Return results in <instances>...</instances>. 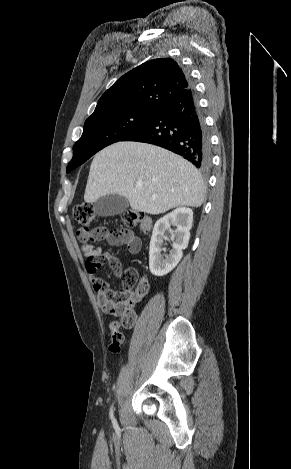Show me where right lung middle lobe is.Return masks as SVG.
Here are the masks:
<instances>
[{"mask_svg": "<svg viewBox=\"0 0 291 469\" xmlns=\"http://www.w3.org/2000/svg\"><path fill=\"white\" fill-rule=\"evenodd\" d=\"M154 110L131 109L110 116L87 119L82 137L73 147L67 172L83 164L102 148L123 140L142 126Z\"/></svg>", "mask_w": 291, "mask_h": 469, "instance_id": "obj_1", "label": "right lung middle lobe"}]
</instances>
